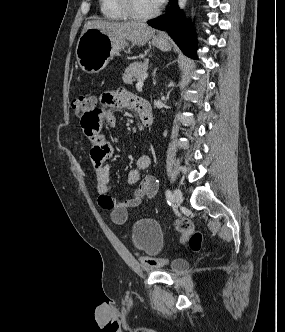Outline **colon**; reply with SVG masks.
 <instances>
[{
    "label": "colon",
    "mask_w": 285,
    "mask_h": 332,
    "mask_svg": "<svg viewBox=\"0 0 285 332\" xmlns=\"http://www.w3.org/2000/svg\"><path fill=\"white\" fill-rule=\"evenodd\" d=\"M91 106H99L93 96L82 95L77 97L72 104L75 116L82 115ZM82 125V124H81ZM177 230L182 234L183 243L192 251H199L202 245V234L194 230V226L188 219H179L176 223ZM142 262L150 267H157L166 262L165 259H155L143 256Z\"/></svg>",
    "instance_id": "obj_1"
}]
</instances>
